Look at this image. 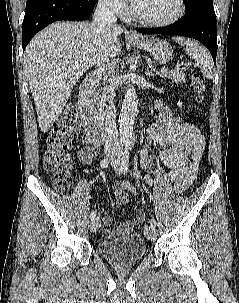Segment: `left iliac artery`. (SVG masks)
<instances>
[{
  "mask_svg": "<svg viewBox=\"0 0 239 303\" xmlns=\"http://www.w3.org/2000/svg\"><path fill=\"white\" fill-rule=\"evenodd\" d=\"M132 149V143L131 142H126L125 143V150H124V153H123V157L121 159V164H122V167L125 171H128L129 168H128V160H129V154H130V150ZM150 224L151 225H156V221L154 219H151L150 221Z\"/></svg>",
  "mask_w": 239,
  "mask_h": 303,
  "instance_id": "1",
  "label": "left iliac artery"
}]
</instances>
